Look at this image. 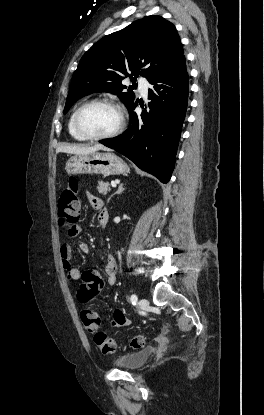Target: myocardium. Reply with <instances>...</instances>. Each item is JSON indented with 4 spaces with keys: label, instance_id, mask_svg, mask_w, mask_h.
Returning <instances> with one entry per match:
<instances>
[{
    "label": "myocardium",
    "instance_id": "f54148a6",
    "mask_svg": "<svg viewBox=\"0 0 264 415\" xmlns=\"http://www.w3.org/2000/svg\"><path fill=\"white\" fill-rule=\"evenodd\" d=\"M98 105H105V106H109V107L116 109L119 113V123L117 127L110 133L102 134V135H92L83 130L80 124V117H81L82 112L85 109L92 107V106H98ZM125 122H126L125 112L123 111V109L121 108L119 104H117L116 102L110 99H96V100L88 101L82 104L76 110L74 119H73L74 128L81 137H83L86 140H96V141L112 139V138L117 137L123 131L125 127Z\"/></svg>",
    "mask_w": 264,
    "mask_h": 415
}]
</instances>
